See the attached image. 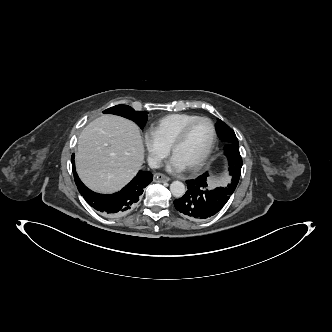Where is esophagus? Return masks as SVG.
Listing matches in <instances>:
<instances>
[{"label": "esophagus", "mask_w": 332, "mask_h": 332, "mask_svg": "<svg viewBox=\"0 0 332 332\" xmlns=\"http://www.w3.org/2000/svg\"><path fill=\"white\" fill-rule=\"evenodd\" d=\"M170 178L164 174L157 173L154 175V181L155 182H168Z\"/></svg>", "instance_id": "obj_1"}]
</instances>
